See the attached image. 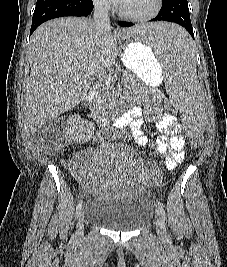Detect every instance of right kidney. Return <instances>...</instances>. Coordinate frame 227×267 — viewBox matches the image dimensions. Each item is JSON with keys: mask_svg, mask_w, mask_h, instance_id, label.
I'll list each match as a JSON object with an SVG mask.
<instances>
[{"mask_svg": "<svg viewBox=\"0 0 227 267\" xmlns=\"http://www.w3.org/2000/svg\"><path fill=\"white\" fill-rule=\"evenodd\" d=\"M67 133L72 141L84 144L89 142L94 135V124L83 120L78 114H74L67 120Z\"/></svg>", "mask_w": 227, "mask_h": 267, "instance_id": "obj_1", "label": "right kidney"}]
</instances>
